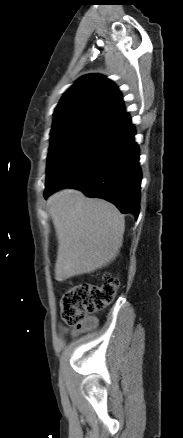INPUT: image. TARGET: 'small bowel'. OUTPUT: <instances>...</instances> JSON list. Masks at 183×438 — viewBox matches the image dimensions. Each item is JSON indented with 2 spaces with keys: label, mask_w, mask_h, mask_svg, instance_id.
<instances>
[{
  "label": "small bowel",
  "mask_w": 183,
  "mask_h": 438,
  "mask_svg": "<svg viewBox=\"0 0 183 438\" xmlns=\"http://www.w3.org/2000/svg\"><path fill=\"white\" fill-rule=\"evenodd\" d=\"M95 323H96V319L94 317H91L87 320L86 324L82 328L90 327ZM74 332H76V331H74Z\"/></svg>",
  "instance_id": "1"
}]
</instances>
